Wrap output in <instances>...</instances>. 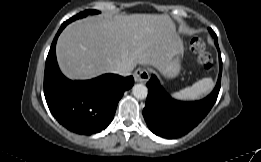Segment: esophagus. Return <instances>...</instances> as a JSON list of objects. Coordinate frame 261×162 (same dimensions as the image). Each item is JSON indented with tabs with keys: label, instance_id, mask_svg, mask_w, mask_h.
Here are the masks:
<instances>
[{
	"label": "esophagus",
	"instance_id": "34e87169",
	"mask_svg": "<svg viewBox=\"0 0 261 162\" xmlns=\"http://www.w3.org/2000/svg\"><path fill=\"white\" fill-rule=\"evenodd\" d=\"M149 78H150V75L146 68H138L134 72V80L136 82H146L149 80Z\"/></svg>",
	"mask_w": 261,
	"mask_h": 162
}]
</instances>
